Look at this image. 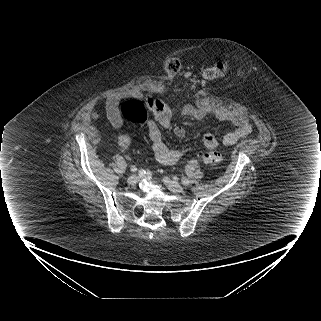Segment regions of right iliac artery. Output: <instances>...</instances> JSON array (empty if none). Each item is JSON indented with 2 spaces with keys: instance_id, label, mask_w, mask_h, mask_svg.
Listing matches in <instances>:
<instances>
[{
  "instance_id": "82829eb1",
  "label": "right iliac artery",
  "mask_w": 321,
  "mask_h": 321,
  "mask_svg": "<svg viewBox=\"0 0 321 321\" xmlns=\"http://www.w3.org/2000/svg\"><path fill=\"white\" fill-rule=\"evenodd\" d=\"M131 170H132V171H136L137 168L133 166V167L131 168Z\"/></svg>"
}]
</instances>
